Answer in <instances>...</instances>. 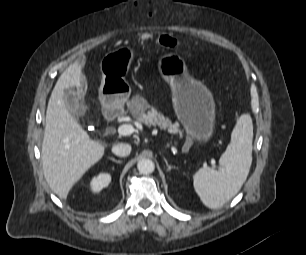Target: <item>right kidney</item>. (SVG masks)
<instances>
[{
  "label": "right kidney",
  "instance_id": "right-kidney-1",
  "mask_svg": "<svg viewBox=\"0 0 306 255\" xmlns=\"http://www.w3.org/2000/svg\"><path fill=\"white\" fill-rule=\"evenodd\" d=\"M111 182V175L108 173H100L98 176L92 178L90 187L93 192H100L107 187Z\"/></svg>",
  "mask_w": 306,
  "mask_h": 255
}]
</instances>
